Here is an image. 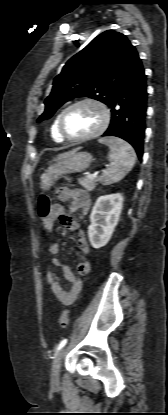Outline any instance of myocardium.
<instances>
[{
  "label": "myocardium",
  "instance_id": "myocardium-1",
  "mask_svg": "<svg viewBox=\"0 0 168 415\" xmlns=\"http://www.w3.org/2000/svg\"><path fill=\"white\" fill-rule=\"evenodd\" d=\"M82 104H92L96 107L99 108V110L101 111L102 114V120L101 123L99 125V127L92 133L87 134L85 136H81V137H72L70 135L67 134V132L65 131L64 128V118L66 113L78 106V105H82ZM110 119H111V114H110V110L109 108L106 106L105 103H103L102 101L95 99V98H82L80 100H77L73 103H71L70 105H68L66 108H64L62 110V112L59 115V119H58V130L60 135L64 138V140L69 141V142H84L87 140H91L94 139L98 136H100L102 133L105 132V130L107 129L109 123H110Z\"/></svg>",
  "mask_w": 168,
  "mask_h": 415
}]
</instances>
